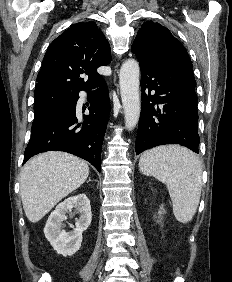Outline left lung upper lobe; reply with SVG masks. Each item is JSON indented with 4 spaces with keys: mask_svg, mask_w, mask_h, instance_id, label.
Here are the masks:
<instances>
[{
    "mask_svg": "<svg viewBox=\"0 0 232 282\" xmlns=\"http://www.w3.org/2000/svg\"><path fill=\"white\" fill-rule=\"evenodd\" d=\"M140 64L158 66L182 64L192 68L185 47L159 23L145 22L132 45Z\"/></svg>",
    "mask_w": 232,
    "mask_h": 282,
    "instance_id": "1",
    "label": "left lung upper lobe"
}]
</instances>
